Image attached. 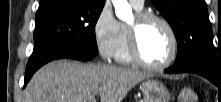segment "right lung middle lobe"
Listing matches in <instances>:
<instances>
[{
	"label": "right lung middle lobe",
	"mask_w": 221,
	"mask_h": 102,
	"mask_svg": "<svg viewBox=\"0 0 221 102\" xmlns=\"http://www.w3.org/2000/svg\"><path fill=\"white\" fill-rule=\"evenodd\" d=\"M103 6L83 0H58L39 7L34 49L27 67L64 48H81L97 54L95 25Z\"/></svg>",
	"instance_id": "obj_1"
}]
</instances>
